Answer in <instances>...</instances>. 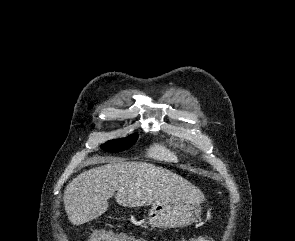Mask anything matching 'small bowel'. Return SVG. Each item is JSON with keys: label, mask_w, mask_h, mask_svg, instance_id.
Listing matches in <instances>:
<instances>
[{"label": "small bowel", "mask_w": 295, "mask_h": 241, "mask_svg": "<svg viewBox=\"0 0 295 241\" xmlns=\"http://www.w3.org/2000/svg\"><path fill=\"white\" fill-rule=\"evenodd\" d=\"M211 240L214 241L213 239H211ZM132 241H145V240L133 238Z\"/></svg>", "instance_id": "c3829d8e"}]
</instances>
